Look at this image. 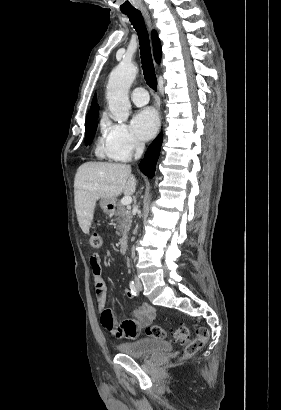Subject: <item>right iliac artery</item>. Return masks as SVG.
Listing matches in <instances>:
<instances>
[{
	"mask_svg": "<svg viewBox=\"0 0 281 410\" xmlns=\"http://www.w3.org/2000/svg\"><path fill=\"white\" fill-rule=\"evenodd\" d=\"M130 289H131V291L133 292L134 295L137 294V287H136L134 281L130 282Z\"/></svg>",
	"mask_w": 281,
	"mask_h": 410,
	"instance_id": "right-iliac-artery-1",
	"label": "right iliac artery"
}]
</instances>
